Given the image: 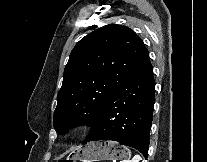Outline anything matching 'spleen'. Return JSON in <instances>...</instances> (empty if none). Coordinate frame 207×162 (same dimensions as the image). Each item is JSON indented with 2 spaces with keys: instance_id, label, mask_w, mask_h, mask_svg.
<instances>
[{
  "instance_id": "3e777b00",
  "label": "spleen",
  "mask_w": 207,
  "mask_h": 162,
  "mask_svg": "<svg viewBox=\"0 0 207 162\" xmlns=\"http://www.w3.org/2000/svg\"><path fill=\"white\" fill-rule=\"evenodd\" d=\"M141 159L140 155H135L132 160H125L123 162H139Z\"/></svg>"
}]
</instances>
